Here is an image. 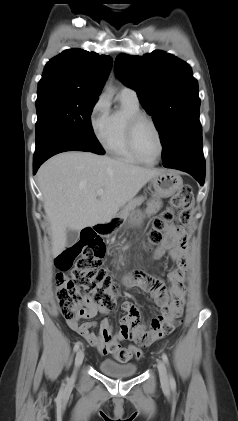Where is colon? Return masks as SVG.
Masks as SVG:
<instances>
[{"mask_svg":"<svg viewBox=\"0 0 238 421\" xmlns=\"http://www.w3.org/2000/svg\"><path fill=\"white\" fill-rule=\"evenodd\" d=\"M194 197L189 185H185L171 199L170 207L155 218L148 234L150 245L164 241L163 232L176 225L186 235L187 224L192 216ZM105 247L101 238L85 231L76 244L66 248L55 259L59 273L56 275V298L61 313L67 320H76L84 314L87 301H93L108 309L115 306L118 286L102 267ZM180 323V313L176 312L165 321L150 337L155 341L171 333ZM120 363L140 359L142 351L138 346L118 347L114 352Z\"/></svg>","mask_w":238,"mask_h":421,"instance_id":"1","label":"colon"}]
</instances>
